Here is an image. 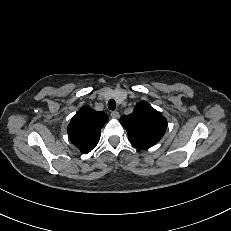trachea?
Wrapping results in <instances>:
<instances>
[{"instance_id":"1","label":"trachea","mask_w":231,"mask_h":231,"mask_svg":"<svg viewBox=\"0 0 231 231\" xmlns=\"http://www.w3.org/2000/svg\"><path fill=\"white\" fill-rule=\"evenodd\" d=\"M108 108L110 110H115L116 109V102L114 99H110L109 102H108Z\"/></svg>"}]
</instances>
